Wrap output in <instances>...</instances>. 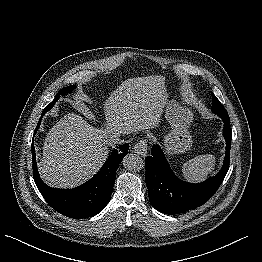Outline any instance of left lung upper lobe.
I'll use <instances>...</instances> for the list:
<instances>
[{"instance_id": "obj_1", "label": "left lung upper lobe", "mask_w": 262, "mask_h": 262, "mask_svg": "<svg viewBox=\"0 0 262 262\" xmlns=\"http://www.w3.org/2000/svg\"><path fill=\"white\" fill-rule=\"evenodd\" d=\"M212 112L215 114L227 113L226 109L222 106L220 101L212 93Z\"/></svg>"}]
</instances>
